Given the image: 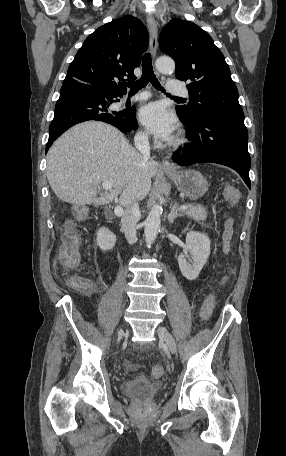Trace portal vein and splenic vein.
<instances>
[{"label": "portal vein and splenic vein", "instance_id": "18ae733b", "mask_svg": "<svg viewBox=\"0 0 286 456\" xmlns=\"http://www.w3.org/2000/svg\"><path fill=\"white\" fill-rule=\"evenodd\" d=\"M102 188L105 190V191H109L112 189V183L109 182V181H104L102 183ZM188 207L186 205H182L179 207V210H186ZM123 208L121 206H116L114 208V213L117 215V216H121L123 214Z\"/></svg>", "mask_w": 286, "mask_h": 456}]
</instances>
